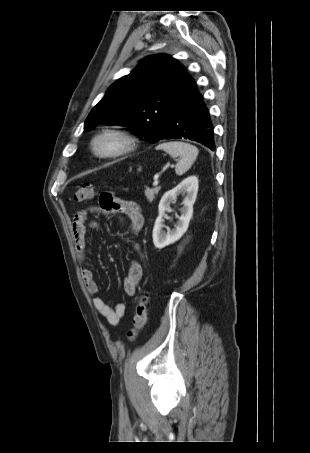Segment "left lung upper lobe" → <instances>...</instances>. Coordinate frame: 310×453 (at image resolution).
Here are the masks:
<instances>
[{"label": "left lung upper lobe", "mask_w": 310, "mask_h": 453, "mask_svg": "<svg viewBox=\"0 0 310 453\" xmlns=\"http://www.w3.org/2000/svg\"><path fill=\"white\" fill-rule=\"evenodd\" d=\"M188 78L171 56H148L108 89L87 117L84 130L99 123L129 125L146 141L158 142Z\"/></svg>", "instance_id": "1"}]
</instances>
